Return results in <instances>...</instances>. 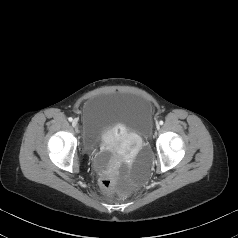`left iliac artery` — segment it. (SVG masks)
<instances>
[{"label":"left iliac artery","instance_id":"44dca946","mask_svg":"<svg viewBox=\"0 0 238 238\" xmlns=\"http://www.w3.org/2000/svg\"><path fill=\"white\" fill-rule=\"evenodd\" d=\"M163 123H164V122H163L162 120L159 122L160 125H163Z\"/></svg>","mask_w":238,"mask_h":238}]
</instances>
